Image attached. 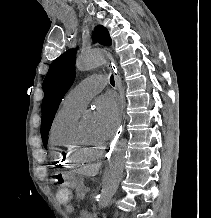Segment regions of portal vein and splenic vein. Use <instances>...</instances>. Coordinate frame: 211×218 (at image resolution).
I'll list each match as a JSON object with an SVG mask.
<instances>
[{"instance_id": "portal-vein-and-splenic-vein-1", "label": "portal vein and splenic vein", "mask_w": 211, "mask_h": 218, "mask_svg": "<svg viewBox=\"0 0 211 218\" xmlns=\"http://www.w3.org/2000/svg\"><path fill=\"white\" fill-rule=\"evenodd\" d=\"M88 189H90V186L85 187V190H88Z\"/></svg>"}]
</instances>
